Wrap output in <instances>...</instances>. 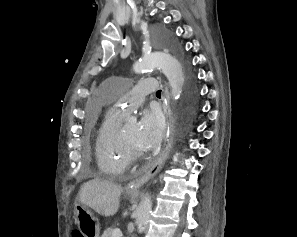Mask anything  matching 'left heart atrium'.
Listing matches in <instances>:
<instances>
[{
	"label": "left heart atrium",
	"mask_w": 297,
	"mask_h": 237,
	"mask_svg": "<svg viewBox=\"0 0 297 237\" xmlns=\"http://www.w3.org/2000/svg\"><path fill=\"white\" fill-rule=\"evenodd\" d=\"M138 142L143 150L159 146L164 135V120L157 109H146L142 112L137 125Z\"/></svg>",
	"instance_id": "39dd6f15"
}]
</instances>
